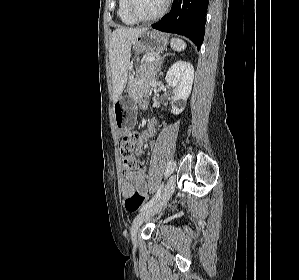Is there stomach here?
Returning a JSON list of instances; mask_svg holds the SVG:
<instances>
[{
    "instance_id": "1",
    "label": "stomach",
    "mask_w": 299,
    "mask_h": 280,
    "mask_svg": "<svg viewBox=\"0 0 299 280\" xmlns=\"http://www.w3.org/2000/svg\"><path fill=\"white\" fill-rule=\"evenodd\" d=\"M168 46V38L158 31H146L133 42L136 53L162 52ZM138 66V61H137ZM140 73V69H137ZM133 96H122L114 105L116 125L120 129H130L134 125L135 112Z\"/></svg>"
}]
</instances>
